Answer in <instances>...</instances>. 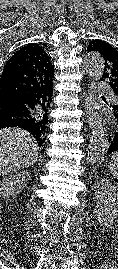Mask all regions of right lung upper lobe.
Here are the masks:
<instances>
[{"label":"right lung upper lobe","instance_id":"cb5924a9","mask_svg":"<svg viewBox=\"0 0 118 269\" xmlns=\"http://www.w3.org/2000/svg\"><path fill=\"white\" fill-rule=\"evenodd\" d=\"M54 68L48 54L37 44H28L6 62L0 78L1 93H29L36 97L34 136L47 131L48 110L52 99Z\"/></svg>","mask_w":118,"mask_h":269}]
</instances>
